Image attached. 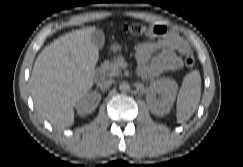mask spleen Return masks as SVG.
<instances>
[{"instance_id": "1", "label": "spleen", "mask_w": 243, "mask_h": 167, "mask_svg": "<svg viewBox=\"0 0 243 167\" xmlns=\"http://www.w3.org/2000/svg\"><path fill=\"white\" fill-rule=\"evenodd\" d=\"M200 97V73L199 70H193L183 78V82L178 93L176 103V117L178 123L189 120L199 105Z\"/></svg>"}]
</instances>
